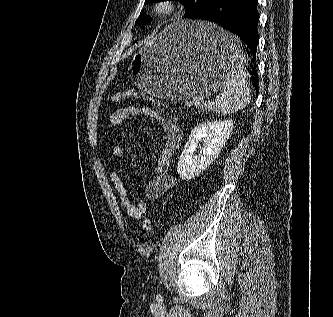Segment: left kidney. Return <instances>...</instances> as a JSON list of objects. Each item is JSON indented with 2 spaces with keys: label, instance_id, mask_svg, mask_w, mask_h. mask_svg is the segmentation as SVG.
Listing matches in <instances>:
<instances>
[{
  "label": "left kidney",
  "instance_id": "obj_1",
  "mask_svg": "<svg viewBox=\"0 0 333 317\" xmlns=\"http://www.w3.org/2000/svg\"><path fill=\"white\" fill-rule=\"evenodd\" d=\"M232 129L231 120L211 121L195 126L177 164L179 177L190 180L201 174L218 157ZM200 141H203L200 154L194 155Z\"/></svg>",
  "mask_w": 333,
  "mask_h": 317
}]
</instances>
